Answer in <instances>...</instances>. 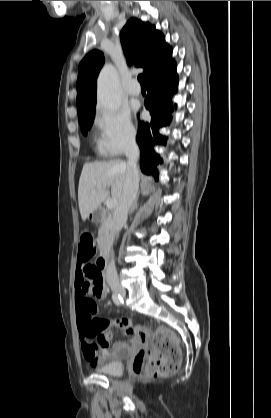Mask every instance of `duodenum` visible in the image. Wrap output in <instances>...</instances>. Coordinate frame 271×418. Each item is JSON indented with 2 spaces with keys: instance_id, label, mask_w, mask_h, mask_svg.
I'll return each instance as SVG.
<instances>
[{
  "instance_id": "duodenum-1",
  "label": "duodenum",
  "mask_w": 271,
  "mask_h": 418,
  "mask_svg": "<svg viewBox=\"0 0 271 418\" xmlns=\"http://www.w3.org/2000/svg\"><path fill=\"white\" fill-rule=\"evenodd\" d=\"M93 218L96 221H100L104 218V213L101 211H96L93 214ZM109 251L107 248H104L100 257L97 260V265L102 267V274H104L108 267Z\"/></svg>"
}]
</instances>
